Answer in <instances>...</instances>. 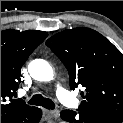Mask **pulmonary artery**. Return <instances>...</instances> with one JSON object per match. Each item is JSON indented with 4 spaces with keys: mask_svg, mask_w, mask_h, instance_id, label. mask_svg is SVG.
Here are the masks:
<instances>
[{
    "mask_svg": "<svg viewBox=\"0 0 123 123\" xmlns=\"http://www.w3.org/2000/svg\"><path fill=\"white\" fill-rule=\"evenodd\" d=\"M56 95L60 102L68 107H75L77 105L76 98L67 90L58 87L56 90Z\"/></svg>",
    "mask_w": 123,
    "mask_h": 123,
    "instance_id": "e3ab8cb5",
    "label": "pulmonary artery"
}]
</instances>
